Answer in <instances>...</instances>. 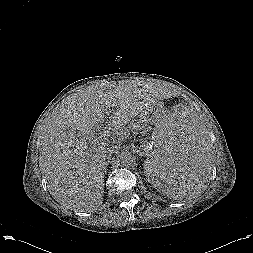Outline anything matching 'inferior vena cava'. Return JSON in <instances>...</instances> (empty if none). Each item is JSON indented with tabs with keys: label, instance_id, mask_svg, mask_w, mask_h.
Instances as JSON below:
<instances>
[{
	"label": "inferior vena cava",
	"instance_id": "1",
	"mask_svg": "<svg viewBox=\"0 0 253 253\" xmlns=\"http://www.w3.org/2000/svg\"><path fill=\"white\" fill-rule=\"evenodd\" d=\"M116 150H117V146L116 145H110L109 147L106 148L104 157L108 158V157L112 156V154L114 152H116Z\"/></svg>",
	"mask_w": 253,
	"mask_h": 253
}]
</instances>
